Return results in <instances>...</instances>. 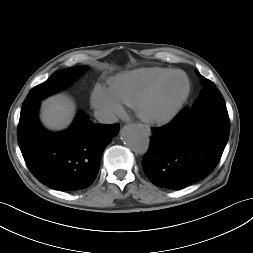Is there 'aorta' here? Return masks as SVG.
Listing matches in <instances>:
<instances>
[{
    "mask_svg": "<svg viewBox=\"0 0 253 253\" xmlns=\"http://www.w3.org/2000/svg\"><path fill=\"white\" fill-rule=\"evenodd\" d=\"M123 143L132 151L144 154L149 148V137L146 131L137 124H128L121 131Z\"/></svg>",
    "mask_w": 253,
    "mask_h": 253,
    "instance_id": "obj_1",
    "label": "aorta"
}]
</instances>
